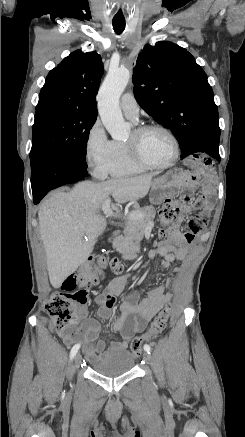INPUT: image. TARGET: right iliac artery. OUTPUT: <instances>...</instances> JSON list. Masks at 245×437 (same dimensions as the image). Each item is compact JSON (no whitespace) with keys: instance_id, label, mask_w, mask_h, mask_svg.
<instances>
[{"instance_id":"1","label":"right iliac artery","mask_w":245,"mask_h":437,"mask_svg":"<svg viewBox=\"0 0 245 437\" xmlns=\"http://www.w3.org/2000/svg\"><path fill=\"white\" fill-rule=\"evenodd\" d=\"M79 348H80V344H76V345L73 346V348L71 349V352H70V358L71 359L74 358V356L76 355V353L79 350Z\"/></svg>"}]
</instances>
